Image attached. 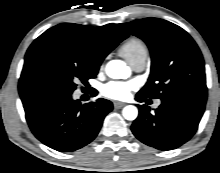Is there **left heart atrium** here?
I'll return each instance as SVG.
<instances>
[{"label": "left heart atrium", "instance_id": "obj_1", "mask_svg": "<svg viewBox=\"0 0 220 173\" xmlns=\"http://www.w3.org/2000/svg\"><path fill=\"white\" fill-rule=\"evenodd\" d=\"M134 89L133 82L111 81L102 87V95L114 100H125Z\"/></svg>", "mask_w": 220, "mask_h": 173}]
</instances>
